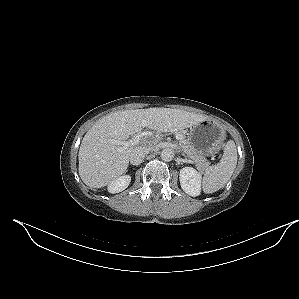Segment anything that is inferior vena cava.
I'll list each match as a JSON object with an SVG mask.
<instances>
[{
    "mask_svg": "<svg viewBox=\"0 0 299 299\" xmlns=\"http://www.w3.org/2000/svg\"><path fill=\"white\" fill-rule=\"evenodd\" d=\"M152 150L151 147H135L130 155H129V161L133 165H139L143 162V159L145 156Z\"/></svg>",
    "mask_w": 299,
    "mask_h": 299,
    "instance_id": "inferior-vena-cava-1",
    "label": "inferior vena cava"
}]
</instances>
